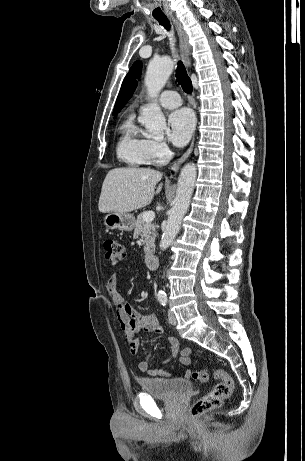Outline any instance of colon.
I'll use <instances>...</instances> for the list:
<instances>
[{
    "label": "colon",
    "instance_id": "obj_1",
    "mask_svg": "<svg viewBox=\"0 0 305 461\" xmlns=\"http://www.w3.org/2000/svg\"><path fill=\"white\" fill-rule=\"evenodd\" d=\"M104 250L106 259L112 265L118 264L126 255L124 246L113 239H108L104 242ZM190 377L194 380L206 382L209 379V371L206 369L193 371L190 373ZM213 377L218 383L193 404L190 410L192 417H197L220 407L230 397L234 386L233 377L223 369H215Z\"/></svg>",
    "mask_w": 305,
    "mask_h": 461
}]
</instances>
